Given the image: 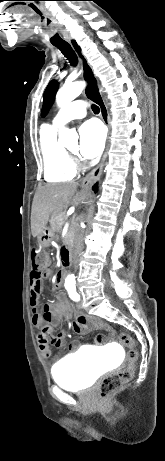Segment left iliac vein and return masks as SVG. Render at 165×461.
I'll return each instance as SVG.
<instances>
[{"mask_svg":"<svg viewBox=\"0 0 165 461\" xmlns=\"http://www.w3.org/2000/svg\"><path fill=\"white\" fill-rule=\"evenodd\" d=\"M77 307H78L79 309H81V308L83 307L82 301H79V302L77 303Z\"/></svg>","mask_w":165,"mask_h":461,"instance_id":"left-iliac-vein-1","label":"left iliac vein"}]
</instances>
